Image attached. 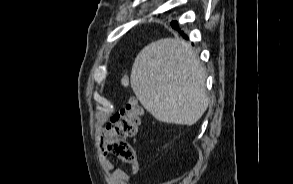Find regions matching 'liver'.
Here are the masks:
<instances>
[{"mask_svg": "<svg viewBox=\"0 0 293 184\" xmlns=\"http://www.w3.org/2000/svg\"><path fill=\"white\" fill-rule=\"evenodd\" d=\"M206 72L192 46L165 38L144 47L133 63L131 88L158 121L193 125L208 107Z\"/></svg>", "mask_w": 293, "mask_h": 184, "instance_id": "6515ba94", "label": "liver"}]
</instances>
